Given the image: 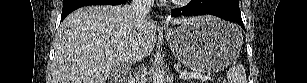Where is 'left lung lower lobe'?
I'll list each match as a JSON object with an SVG mask.
<instances>
[{
    "label": "left lung lower lobe",
    "mask_w": 307,
    "mask_h": 83,
    "mask_svg": "<svg viewBox=\"0 0 307 83\" xmlns=\"http://www.w3.org/2000/svg\"><path fill=\"white\" fill-rule=\"evenodd\" d=\"M214 15L238 23L244 30L238 0H191L186 6L173 9L171 16Z\"/></svg>",
    "instance_id": "obj_1"
}]
</instances>
